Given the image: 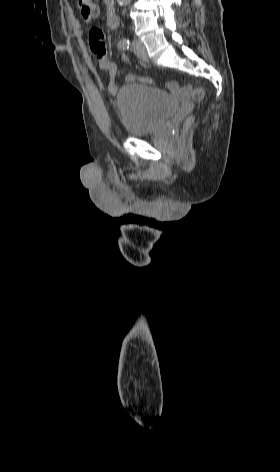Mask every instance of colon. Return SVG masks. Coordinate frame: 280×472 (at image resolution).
I'll list each match as a JSON object with an SVG mask.
<instances>
[{
  "label": "colon",
  "instance_id": "colon-1",
  "mask_svg": "<svg viewBox=\"0 0 280 472\" xmlns=\"http://www.w3.org/2000/svg\"><path fill=\"white\" fill-rule=\"evenodd\" d=\"M77 1H78V7L80 10L82 20L85 23L92 22L96 18L97 13H98L96 4L92 0H77ZM134 79L145 84L155 83L153 79L147 78V77L134 76ZM169 86L177 87L178 84L176 82H171L169 83ZM182 88L188 91L191 97L195 101H202L205 97V89L200 85L184 84L182 85ZM192 120H193L192 117H189L186 120L185 128H188V126L192 123Z\"/></svg>",
  "mask_w": 280,
  "mask_h": 472
}]
</instances>
